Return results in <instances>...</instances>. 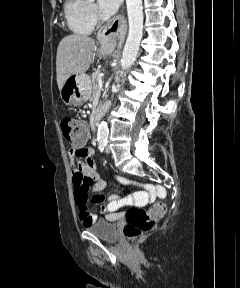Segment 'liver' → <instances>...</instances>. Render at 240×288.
Listing matches in <instances>:
<instances>
[{
    "label": "liver",
    "mask_w": 240,
    "mask_h": 288,
    "mask_svg": "<svg viewBox=\"0 0 240 288\" xmlns=\"http://www.w3.org/2000/svg\"><path fill=\"white\" fill-rule=\"evenodd\" d=\"M95 40L88 36L68 35L57 48L56 73L59 90L68 77L84 74L90 67Z\"/></svg>",
    "instance_id": "obj_1"
}]
</instances>
